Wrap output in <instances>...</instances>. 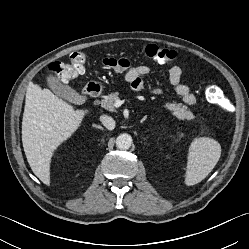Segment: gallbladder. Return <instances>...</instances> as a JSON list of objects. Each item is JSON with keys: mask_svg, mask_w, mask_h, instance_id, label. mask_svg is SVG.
Returning a JSON list of instances; mask_svg holds the SVG:
<instances>
[{"mask_svg": "<svg viewBox=\"0 0 249 249\" xmlns=\"http://www.w3.org/2000/svg\"><path fill=\"white\" fill-rule=\"evenodd\" d=\"M47 84L49 88L59 97L74 103V104H82L83 103V97L80 96L76 90L71 88L70 86H67L61 82L60 79H58L53 74H48L46 78Z\"/></svg>", "mask_w": 249, "mask_h": 249, "instance_id": "bac80fb5", "label": "gallbladder"}]
</instances>
